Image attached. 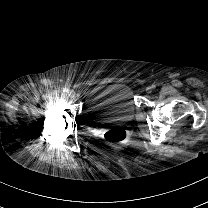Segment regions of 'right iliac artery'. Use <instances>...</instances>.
Here are the masks:
<instances>
[{
  "label": "right iliac artery",
  "mask_w": 208,
  "mask_h": 208,
  "mask_svg": "<svg viewBox=\"0 0 208 208\" xmlns=\"http://www.w3.org/2000/svg\"><path fill=\"white\" fill-rule=\"evenodd\" d=\"M69 90L67 88H63V93H68Z\"/></svg>",
  "instance_id": "right-iliac-artery-1"
}]
</instances>
